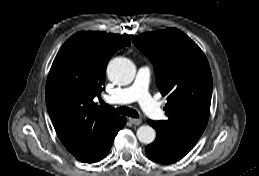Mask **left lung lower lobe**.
<instances>
[{
    "mask_svg": "<svg viewBox=\"0 0 259 176\" xmlns=\"http://www.w3.org/2000/svg\"><path fill=\"white\" fill-rule=\"evenodd\" d=\"M147 122L157 133L155 141L145 149L148 158L154 162L173 163L184 157L196 143L169 134L152 120Z\"/></svg>",
    "mask_w": 259,
    "mask_h": 176,
    "instance_id": "obj_1",
    "label": "left lung lower lobe"
}]
</instances>
